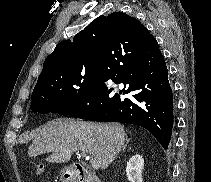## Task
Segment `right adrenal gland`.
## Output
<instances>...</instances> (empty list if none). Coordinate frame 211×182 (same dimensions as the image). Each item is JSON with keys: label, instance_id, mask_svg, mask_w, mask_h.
I'll return each instance as SVG.
<instances>
[{"label": "right adrenal gland", "instance_id": "2a0ac1e0", "mask_svg": "<svg viewBox=\"0 0 211 182\" xmlns=\"http://www.w3.org/2000/svg\"><path fill=\"white\" fill-rule=\"evenodd\" d=\"M129 141H130V139H126V143H125V145L123 146L122 150H124V149L127 147Z\"/></svg>", "mask_w": 211, "mask_h": 182}]
</instances>
